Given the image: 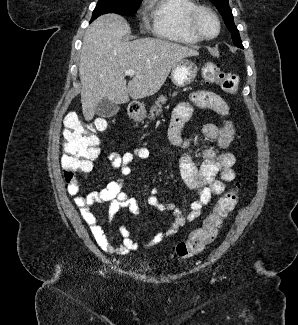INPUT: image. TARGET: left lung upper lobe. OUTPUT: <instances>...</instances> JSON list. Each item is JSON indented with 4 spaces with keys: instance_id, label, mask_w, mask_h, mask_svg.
Returning <instances> with one entry per match:
<instances>
[{
    "instance_id": "5c2ea615",
    "label": "left lung upper lobe",
    "mask_w": 298,
    "mask_h": 325,
    "mask_svg": "<svg viewBox=\"0 0 298 325\" xmlns=\"http://www.w3.org/2000/svg\"><path fill=\"white\" fill-rule=\"evenodd\" d=\"M211 2L217 7L220 14L222 15L228 30L231 32L234 44L238 47H241L242 43L239 36V31L234 24L233 15L229 7L228 0H211Z\"/></svg>"
}]
</instances>
